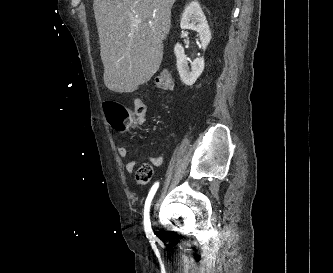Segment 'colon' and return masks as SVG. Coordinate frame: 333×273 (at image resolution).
Returning a JSON list of instances; mask_svg holds the SVG:
<instances>
[{"label": "colon", "instance_id": "colon-1", "mask_svg": "<svg viewBox=\"0 0 333 273\" xmlns=\"http://www.w3.org/2000/svg\"><path fill=\"white\" fill-rule=\"evenodd\" d=\"M156 86L159 90L168 92L173 88V79L167 69H163L156 77ZM104 111L111 127L118 133H125L134 127L136 119L131 110L116 101H106ZM153 169L150 164L142 163L136 171L138 183L145 184L150 181Z\"/></svg>", "mask_w": 333, "mask_h": 273}]
</instances>
